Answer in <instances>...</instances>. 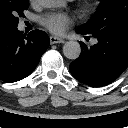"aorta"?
<instances>
[{"instance_id": "aorta-1", "label": "aorta", "mask_w": 128, "mask_h": 128, "mask_svg": "<svg viewBox=\"0 0 128 128\" xmlns=\"http://www.w3.org/2000/svg\"><path fill=\"white\" fill-rule=\"evenodd\" d=\"M63 0H39V4L44 8H56L62 6ZM63 54L66 58L75 60L81 54V46L77 41H68L63 46Z\"/></svg>"}]
</instances>
